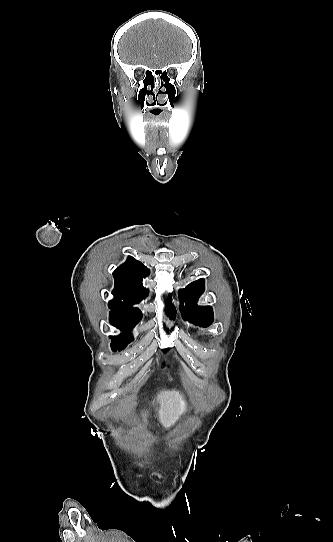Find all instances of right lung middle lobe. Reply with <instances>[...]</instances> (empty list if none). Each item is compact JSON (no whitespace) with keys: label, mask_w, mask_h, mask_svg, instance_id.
I'll list each match as a JSON object with an SVG mask.
<instances>
[{"label":"right lung middle lobe","mask_w":333,"mask_h":542,"mask_svg":"<svg viewBox=\"0 0 333 542\" xmlns=\"http://www.w3.org/2000/svg\"><path fill=\"white\" fill-rule=\"evenodd\" d=\"M139 322L136 319L130 318H120V317H111L110 323L116 328L120 329L123 333L117 337L111 338V346L113 351L122 350L126 347L128 342L132 341V338L129 336V331Z\"/></svg>","instance_id":"obj_1"}]
</instances>
